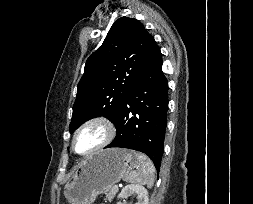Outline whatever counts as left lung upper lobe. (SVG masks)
<instances>
[{
    "label": "left lung upper lobe",
    "instance_id": "obj_1",
    "mask_svg": "<svg viewBox=\"0 0 253 204\" xmlns=\"http://www.w3.org/2000/svg\"><path fill=\"white\" fill-rule=\"evenodd\" d=\"M156 47L153 36L137 19L119 18L86 61L77 85L70 133L98 116L114 123Z\"/></svg>",
    "mask_w": 253,
    "mask_h": 204
}]
</instances>
